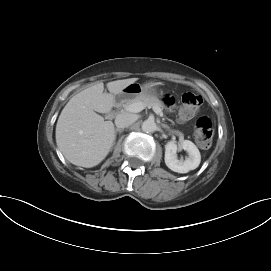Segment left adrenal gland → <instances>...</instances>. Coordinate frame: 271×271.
<instances>
[{
	"label": "left adrenal gland",
	"instance_id": "left-adrenal-gland-1",
	"mask_svg": "<svg viewBox=\"0 0 271 271\" xmlns=\"http://www.w3.org/2000/svg\"><path fill=\"white\" fill-rule=\"evenodd\" d=\"M162 126L165 127V128H169L167 125H164V124Z\"/></svg>",
	"mask_w": 271,
	"mask_h": 271
}]
</instances>
